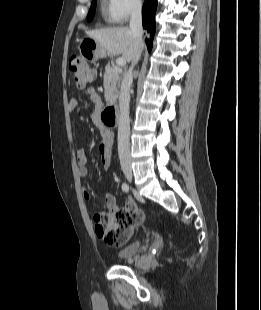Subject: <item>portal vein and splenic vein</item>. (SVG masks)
Returning <instances> with one entry per match:
<instances>
[{"instance_id":"1","label":"portal vein and splenic vein","mask_w":261,"mask_h":310,"mask_svg":"<svg viewBox=\"0 0 261 310\" xmlns=\"http://www.w3.org/2000/svg\"><path fill=\"white\" fill-rule=\"evenodd\" d=\"M116 64L118 65V66H125L126 65V60L124 59V58H118V59H116Z\"/></svg>"}]
</instances>
